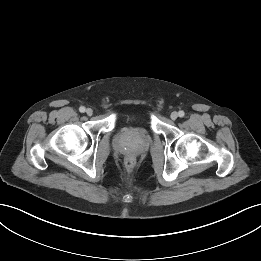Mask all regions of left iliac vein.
I'll return each mask as SVG.
<instances>
[{
	"label": "left iliac vein",
	"instance_id": "4c4485c4",
	"mask_svg": "<svg viewBox=\"0 0 261 261\" xmlns=\"http://www.w3.org/2000/svg\"><path fill=\"white\" fill-rule=\"evenodd\" d=\"M177 117H178V113L177 112H172L171 113V115H170V118L172 119V120H176L177 119Z\"/></svg>",
	"mask_w": 261,
	"mask_h": 261
}]
</instances>
